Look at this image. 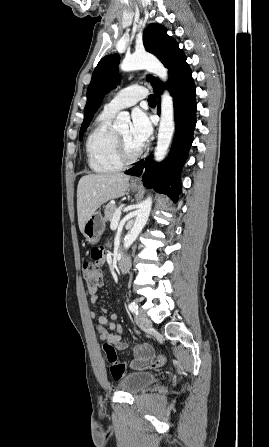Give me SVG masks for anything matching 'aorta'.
Instances as JSON below:
<instances>
[{
	"label": "aorta",
	"instance_id": "aorta-1",
	"mask_svg": "<svg viewBox=\"0 0 269 447\" xmlns=\"http://www.w3.org/2000/svg\"><path fill=\"white\" fill-rule=\"evenodd\" d=\"M120 70L122 72H134V70H148L152 72L155 76H159L160 80L166 82L168 78V70L164 68L163 64L152 56V54H132V56H125L120 64ZM130 122V116L127 112H120L113 122V130H128ZM175 130L174 122V108H173V98H171L169 92H164L161 96V114L157 138V146L155 148L154 156L156 162H162L164 160L168 148L171 144ZM152 206L151 198H147L143 202L141 208L137 212V218L133 224V227L129 229L126 237H124V247L128 249L138 237L140 231H142L144 225L149 218L150 210Z\"/></svg>",
	"mask_w": 269,
	"mask_h": 447
}]
</instances>
